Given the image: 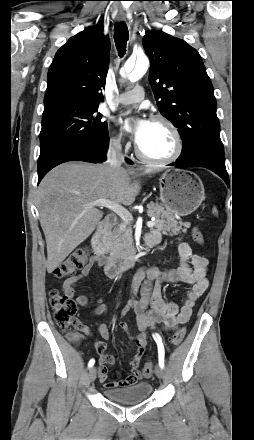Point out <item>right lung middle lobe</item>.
<instances>
[{
  "label": "right lung middle lobe",
  "instance_id": "dd1d6c3e",
  "mask_svg": "<svg viewBox=\"0 0 254 440\" xmlns=\"http://www.w3.org/2000/svg\"><path fill=\"white\" fill-rule=\"evenodd\" d=\"M97 108L98 105L71 100L44 106L38 171L66 152L107 138V123L101 120Z\"/></svg>",
  "mask_w": 254,
  "mask_h": 440
}]
</instances>
